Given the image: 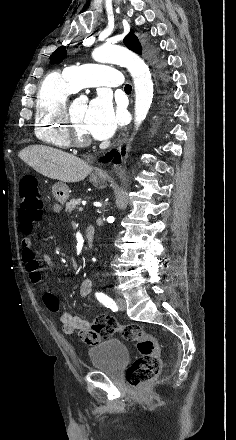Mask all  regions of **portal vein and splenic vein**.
<instances>
[{
    "mask_svg": "<svg viewBox=\"0 0 236 440\" xmlns=\"http://www.w3.org/2000/svg\"><path fill=\"white\" fill-rule=\"evenodd\" d=\"M79 211H83V207H80V208H79Z\"/></svg>",
    "mask_w": 236,
    "mask_h": 440,
    "instance_id": "18ae733b",
    "label": "portal vein and splenic vein"
}]
</instances>
